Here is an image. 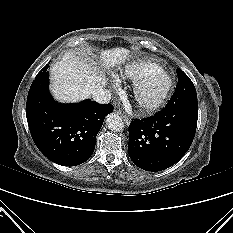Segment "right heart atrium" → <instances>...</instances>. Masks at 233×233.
Here are the masks:
<instances>
[{"mask_svg":"<svg viewBox=\"0 0 233 233\" xmlns=\"http://www.w3.org/2000/svg\"><path fill=\"white\" fill-rule=\"evenodd\" d=\"M113 82H114V85H116V86L118 85V80L117 79H114Z\"/></svg>","mask_w":233,"mask_h":233,"instance_id":"obj_1","label":"right heart atrium"}]
</instances>
